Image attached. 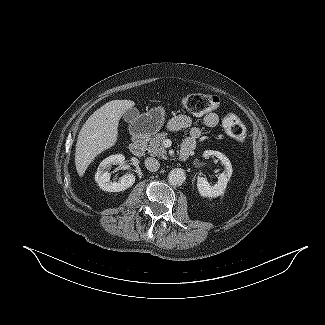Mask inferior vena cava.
I'll use <instances>...</instances> for the list:
<instances>
[{"label": "inferior vena cava", "instance_id": "1", "mask_svg": "<svg viewBox=\"0 0 325 325\" xmlns=\"http://www.w3.org/2000/svg\"><path fill=\"white\" fill-rule=\"evenodd\" d=\"M145 166L149 171L155 172L159 169L160 163L157 159L148 157L145 159Z\"/></svg>", "mask_w": 325, "mask_h": 325}]
</instances>
